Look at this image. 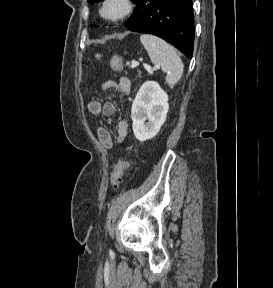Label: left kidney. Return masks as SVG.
<instances>
[{
  "label": "left kidney",
  "instance_id": "5707ae66",
  "mask_svg": "<svg viewBox=\"0 0 273 288\" xmlns=\"http://www.w3.org/2000/svg\"><path fill=\"white\" fill-rule=\"evenodd\" d=\"M168 109V95L160 85L155 81L144 82L131 109L136 139L144 142L155 137L166 120Z\"/></svg>",
  "mask_w": 273,
  "mask_h": 288
}]
</instances>
